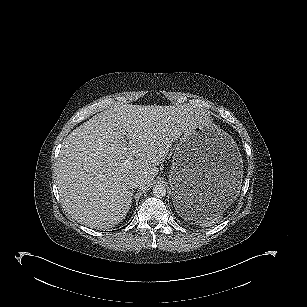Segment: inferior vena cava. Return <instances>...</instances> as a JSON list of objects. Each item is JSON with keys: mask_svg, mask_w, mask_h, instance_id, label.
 <instances>
[{"mask_svg": "<svg viewBox=\"0 0 307 307\" xmlns=\"http://www.w3.org/2000/svg\"><path fill=\"white\" fill-rule=\"evenodd\" d=\"M141 184H142L141 180L133 179V180L129 181L128 188L129 189H137V188H140Z\"/></svg>", "mask_w": 307, "mask_h": 307, "instance_id": "obj_1", "label": "inferior vena cava"}]
</instances>
